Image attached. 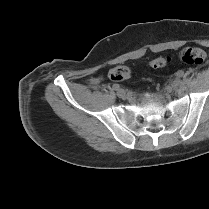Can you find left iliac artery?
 Here are the masks:
<instances>
[{"label": "left iliac artery", "instance_id": "left-iliac-artery-1", "mask_svg": "<svg viewBox=\"0 0 209 209\" xmlns=\"http://www.w3.org/2000/svg\"><path fill=\"white\" fill-rule=\"evenodd\" d=\"M177 76H178L179 78H182V77L184 76V73H183L182 71H179V72L177 73Z\"/></svg>", "mask_w": 209, "mask_h": 209}]
</instances>
